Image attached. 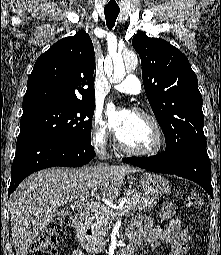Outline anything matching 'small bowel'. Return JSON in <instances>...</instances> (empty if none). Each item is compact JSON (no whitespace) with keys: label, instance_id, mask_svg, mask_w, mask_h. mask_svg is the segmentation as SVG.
I'll use <instances>...</instances> for the list:
<instances>
[{"label":"small bowel","instance_id":"obj_1","mask_svg":"<svg viewBox=\"0 0 221 255\" xmlns=\"http://www.w3.org/2000/svg\"><path fill=\"white\" fill-rule=\"evenodd\" d=\"M175 209L171 203H165L161 209V217L167 220L164 226L154 225L152 217L144 220L134 217L128 227L129 238L137 237L152 247H158L163 243L171 245L169 255H188L189 233L181 226L179 219L174 217ZM72 255H85L81 250H75Z\"/></svg>","mask_w":221,"mask_h":255}]
</instances>
